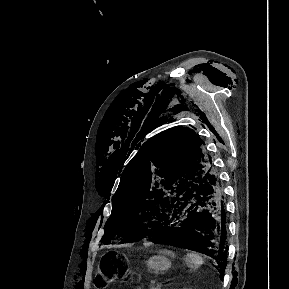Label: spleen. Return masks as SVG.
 <instances>
[{"instance_id": "spleen-1", "label": "spleen", "mask_w": 289, "mask_h": 289, "mask_svg": "<svg viewBox=\"0 0 289 289\" xmlns=\"http://www.w3.org/2000/svg\"><path fill=\"white\" fill-rule=\"evenodd\" d=\"M203 259L202 257L194 252H189L187 254V259H186V263L190 268H198L200 265L203 264Z\"/></svg>"}]
</instances>
